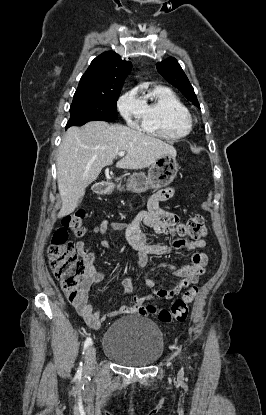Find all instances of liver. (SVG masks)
Instances as JSON below:
<instances>
[{
    "label": "liver",
    "mask_w": 266,
    "mask_h": 415,
    "mask_svg": "<svg viewBox=\"0 0 266 415\" xmlns=\"http://www.w3.org/2000/svg\"><path fill=\"white\" fill-rule=\"evenodd\" d=\"M120 151L127 154L116 164L122 169H143L163 155L176 157L166 142L124 125L92 121L71 127L62 139L57 157L58 190L62 206L58 218L71 214L97 179L103 167L111 165Z\"/></svg>",
    "instance_id": "obj_1"
}]
</instances>
